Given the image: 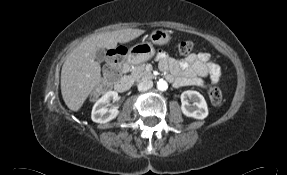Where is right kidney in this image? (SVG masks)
Segmentation results:
<instances>
[{
  "label": "right kidney",
  "instance_id": "obj_1",
  "mask_svg": "<svg viewBox=\"0 0 287 175\" xmlns=\"http://www.w3.org/2000/svg\"><path fill=\"white\" fill-rule=\"evenodd\" d=\"M118 100L116 91L106 92L93 106L91 119L96 123H107L119 114L118 106H111V102Z\"/></svg>",
  "mask_w": 287,
  "mask_h": 175
}]
</instances>
